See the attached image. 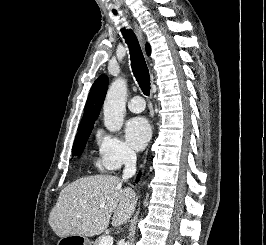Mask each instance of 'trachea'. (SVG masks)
Returning <instances> with one entry per match:
<instances>
[{"instance_id": "obj_1", "label": "trachea", "mask_w": 266, "mask_h": 245, "mask_svg": "<svg viewBox=\"0 0 266 245\" xmlns=\"http://www.w3.org/2000/svg\"><path fill=\"white\" fill-rule=\"evenodd\" d=\"M116 14V13H115ZM123 36L128 44L131 55V66L137 82L145 95L150 94V74L144 60L139 42L133 31L122 29Z\"/></svg>"}]
</instances>
